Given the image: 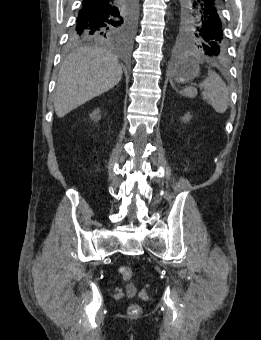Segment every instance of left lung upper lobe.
I'll return each mask as SVG.
<instances>
[{
	"mask_svg": "<svg viewBox=\"0 0 261 340\" xmlns=\"http://www.w3.org/2000/svg\"><path fill=\"white\" fill-rule=\"evenodd\" d=\"M175 42L224 60L228 52L221 7L214 17H205L192 0H178Z\"/></svg>",
	"mask_w": 261,
	"mask_h": 340,
	"instance_id": "1",
	"label": "left lung upper lobe"
}]
</instances>
